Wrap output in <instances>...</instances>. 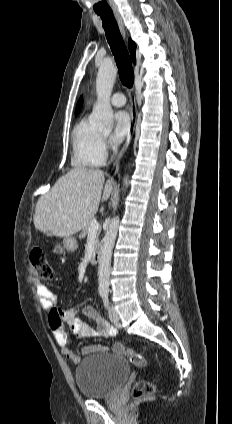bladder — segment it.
I'll use <instances>...</instances> for the list:
<instances>
[{"label": "bladder", "mask_w": 232, "mask_h": 424, "mask_svg": "<svg viewBox=\"0 0 232 424\" xmlns=\"http://www.w3.org/2000/svg\"><path fill=\"white\" fill-rule=\"evenodd\" d=\"M129 362L107 353L84 358L75 370V381L86 399H105L113 396L129 379Z\"/></svg>", "instance_id": "obj_1"}]
</instances>
